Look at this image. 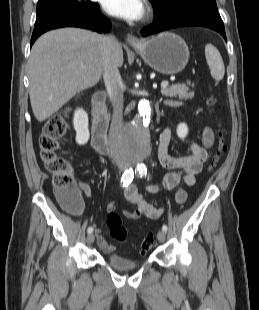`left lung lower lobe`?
I'll return each instance as SVG.
<instances>
[{
    "label": "left lung lower lobe",
    "mask_w": 259,
    "mask_h": 310,
    "mask_svg": "<svg viewBox=\"0 0 259 310\" xmlns=\"http://www.w3.org/2000/svg\"><path fill=\"white\" fill-rule=\"evenodd\" d=\"M185 26H202L210 28L220 33L226 40L223 21L218 11L205 9L191 10L165 21L154 22L150 26L142 29L141 34L143 37H146L157 32Z\"/></svg>",
    "instance_id": "0a47b994"
}]
</instances>
